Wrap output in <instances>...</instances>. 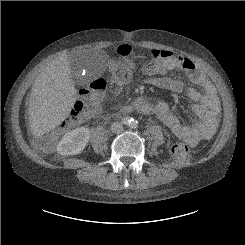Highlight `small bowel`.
Wrapping results in <instances>:
<instances>
[{"mask_svg":"<svg viewBox=\"0 0 245 245\" xmlns=\"http://www.w3.org/2000/svg\"><path fill=\"white\" fill-rule=\"evenodd\" d=\"M128 48L125 46L122 52L125 53ZM149 55L154 61V65L145 68V72L150 75H157L149 80V83L153 86L179 92L182 89V82L177 78L167 76L166 73L169 70L180 69L186 73L193 84L201 89V92L194 89L189 91V97L193 101L194 120L187 126L171 110L169 104L163 100L152 104L144 98H139L133 104L134 109L143 114L155 115L177 137L191 145L209 140L216 131L219 114V100L214 84L189 58L171 51L156 49L150 50ZM103 98L104 93L100 96L101 102Z\"/></svg>","mask_w":245,"mask_h":245,"instance_id":"1","label":"small bowel"}]
</instances>
